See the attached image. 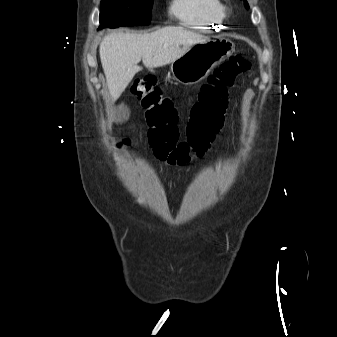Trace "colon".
Returning <instances> with one entry per match:
<instances>
[{
    "instance_id": "colon-1",
    "label": "colon",
    "mask_w": 337,
    "mask_h": 337,
    "mask_svg": "<svg viewBox=\"0 0 337 337\" xmlns=\"http://www.w3.org/2000/svg\"><path fill=\"white\" fill-rule=\"evenodd\" d=\"M250 66L245 58L234 56L208 77L192 107L185 139H180L176 108L171 99L162 95L155 78L145 75L135 79L131 93L144 110L148 141L155 157L174 165L202 157L222 127L227 88Z\"/></svg>"
}]
</instances>
